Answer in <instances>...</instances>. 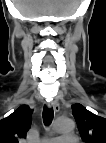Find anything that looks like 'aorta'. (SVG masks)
Wrapping results in <instances>:
<instances>
[{"label": "aorta", "instance_id": "obj_1", "mask_svg": "<svg viewBox=\"0 0 106 143\" xmlns=\"http://www.w3.org/2000/svg\"><path fill=\"white\" fill-rule=\"evenodd\" d=\"M75 127L74 122L68 118L58 119L53 126V130L58 133H69Z\"/></svg>", "mask_w": 106, "mask_h": 143}]
</instances>
